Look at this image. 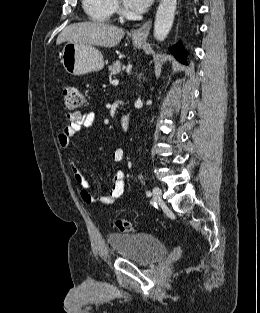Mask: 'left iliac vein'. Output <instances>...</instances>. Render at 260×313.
<instances>
[{
	"instance_id": "obj_1",
	"label": "left iliac vein",
	"mask_w": 260,
	"mask_h": 313,
	"mask_svg": "<svg viewBox=\"0 0 260 313\" xmlns=\"http://www.w3.org/2000/svg\"><path fill=\"white\" fill-rule=\"evenodd\" d=\"M153 200L157 203L162 201V190L158 186L153 188Z\"/></svg>"
}]
</instances>
